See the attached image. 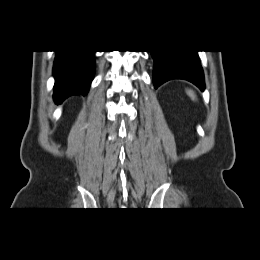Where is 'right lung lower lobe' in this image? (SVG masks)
I'll list each match as a JSON object with an SVG mask.
<instances>
[{
  "mask_svg": "<svg viewBox=\"0 0 260 260\" xmlns=\"http://www.w3.org/2000/svg\"><path fill=\"white\" fill-rule=\"evenodd\" d=\"M94 54L95 51H56L53 96L57 104L71 95H86L95 71Z\"/></svg>",
  "mask_w": 260,
  "mask_h": 260,
  "instance_id": "98d812e1",
  "label": "right lung lower lobe"
}]
</instances>
